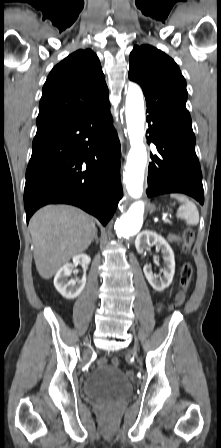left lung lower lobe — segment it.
Instances as JSON below:
<instances>
[{"label":"left lung lower lobe","mask_w":221,"mask_h":448,"mask_svg":"<svg viewBox=\"0 0 221 448\" xmlns=\"http://www.w3.org/2000/svg\"><path fill=\"white\" fill-rule=\"evenodd\" d=\"M148 143L153 142L158 155H151L148 170V197L165 193H184L204 203L202 173L196 156L194 133L180 129L149 113Z\"/></svg>","instance_id":"left-lung-lower-lobe-1"}]
</instances>
